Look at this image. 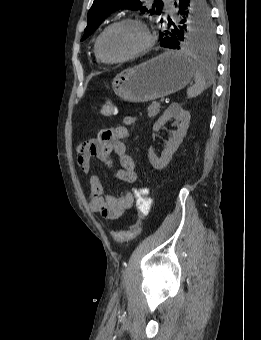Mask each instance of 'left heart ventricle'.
<instances>
[{
  "label": "left heart ventricle",
  "instance_id": "1",
  "mask_svg": "<svg viewBox=\"0 0 261 340\" xmlns=\"http://www.w3.org/2000/svg\"><path fill=\"white\" fill-rule=\"evenodd\" d=\"M145 42L143 31L133 24H121L102 38L101 51L107 58H119L139 49Z\"/></svg>",
  "mask_w": 261,
  "mask_h": 340
}]
</instances>
